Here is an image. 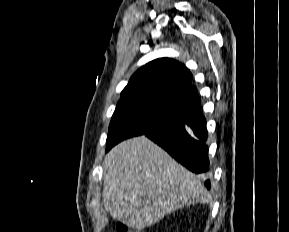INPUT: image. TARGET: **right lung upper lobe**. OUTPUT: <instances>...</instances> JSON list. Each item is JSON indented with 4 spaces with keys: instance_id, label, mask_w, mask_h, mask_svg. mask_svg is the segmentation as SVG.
Wrapping results in <instances>:
<instances>
[{
    "instance_id": "right-lung-upper-lobe-1",
    "label": "right lung upper lobe",
    "mask_w": 289,
    "mask_h": 232,
    "mask_svg": "<svg viewBox=\"0 0 289 232\" xmlns=\"http://www.w3.org/2000/svg\"><path fill=\"white\" fill-rule=\"evenodd\" d=\"M121 99L150 101L183 113L201 108L190 71L168 58L153 60L137 70L123 89Z\"/></svg>"
}]
</instances>
